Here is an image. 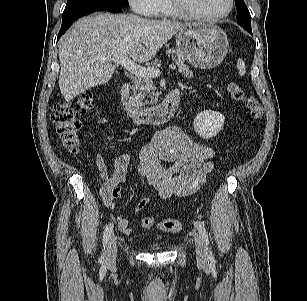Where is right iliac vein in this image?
Wrapping results in <instances>:
<instances>
[{
    "label": "right iliac vein",
    "instance_id": "1",
    "mask_svg": "<svg viewBox=\"0 0 307 301\" xmlns=\"http://www.w3.org/2000/svg\"><path fill=\"white\" fill-rule=\"evenodd\" d=\"M116 255H117V238H116V236L113 235L109 239V242H108V245H107L105 263L108 266L115 265Z\"/></svg>",
    "mask_w": 307,
    "mask_h": 301
}]
</instances>
